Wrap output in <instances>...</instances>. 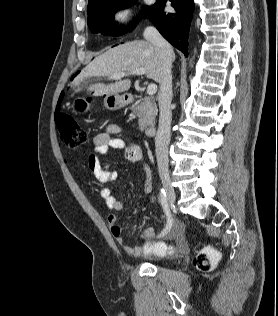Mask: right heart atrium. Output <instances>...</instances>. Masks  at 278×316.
Here are the masks:
<instances>
[{
    "instance_id": "d8ad5b80",
    "label": "right heart atrium",
    "mask_w": 278,
    "mask_h": 316,
    "mask_svg": "<svg viewBox=\"0 0 278 316\" xmlns=\"http://www.w3.org/2000/svg\"><path fill=\"white\" fill-rule=\"evenodd\" d=\"M112 20L119 27H130L135 22V10L131 3L121 2L112 12Z\"/></svg>"
}]
</instances>
